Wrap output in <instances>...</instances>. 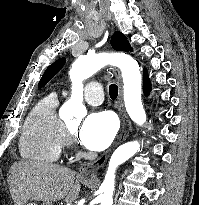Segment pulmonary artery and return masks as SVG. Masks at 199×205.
Listing matches in <instances>:
<instances>
[{
	"mask_svg": "<svg viewBox=\"0 0 199 205\" xmlns=\"http://www.w3.org/2000/svg\"><path fill=\"white\" fill-rule=\"evenodd\" d=\"M84 99L91 105L101 104L104 99L103 86L97 81H92L86 84Z\"/></svg>",
	"mask_w": 199,
	"mask_h": 205,
	"instance_id": "obj_1",
	"label": "pulmonary artery"
}]
</instances>
